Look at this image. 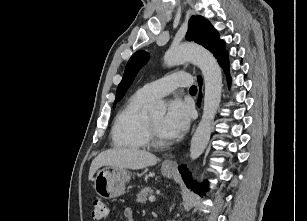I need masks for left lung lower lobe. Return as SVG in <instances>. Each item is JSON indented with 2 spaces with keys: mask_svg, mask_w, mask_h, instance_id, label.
Masks as SVG:
<instances>
[{
  "mask_svg": "<svg viewBox=\"0 0 307 221\" xmlns=\"http://www.w3.org/2000/svg\"><path fill=\"white\" fill-rule=\"evenodd\" d=\"M218 62L222 66V68L224 69L225 73L228 75V57H227V55H225ZM198 82H199L200 87H201L202 83H201L200 77L198 78ZM228 82H229V78H228ZM200 100H201V95L199 96L198 104H200ZM179 171H180V173L183 177V180L187 184V186L188 187H191L192 185L194 186L195 192L202 194V191L207 189V187H208L207 182H205L203 187L193 182V180L189 177V172L187 171L186 166H179Z\"/></svg>",
  "mask_w": 307,
  "mask_h": 221,
  "instance_id": "left-lung-lower-lobe-1",
  "label": "left lung lower lobe"
}]
</instances>
